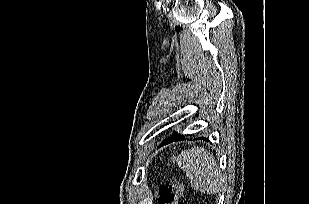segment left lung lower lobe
<instances>
[{
  "label": "left lung lower lobe",
  "instance_id": "left-lung-lower-lobe-1",
  "mask_svg": "<svg viewBox=\"0 0 309 204\" xmlns=\"http://www.w3.org/2000/svg\"><path fill=\"white\" fill-rule=\"evenodd\" d=\"M180 139H182V136H181V135H178V136H177V135L174 134L172 137H170V138L164 140L160 146H163V145H165V144H168V143H170V142H172V141H178V140H180ZM202 139H205V140L208 141V139H206V138H202Z\"/></svg>",
  "mask_w": 309,
  "mask_h": 204
}]
</instances>
